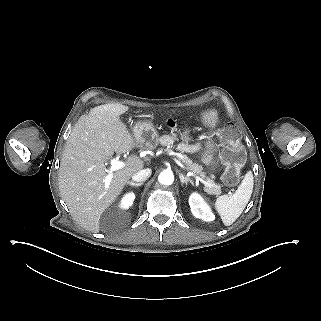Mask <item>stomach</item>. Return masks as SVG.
Segmentation results:
<instances>
[{
  "instance_id": "stomach-1",
  "label": "stomach",
  "mask_w": 321,
  "mask_h": 321,
  "mask_svg": "<svg viewBox=\"0 0 321 321\" xmlns=\"http://www.w3.org/2000/svg\"><path fill=\"white\" fill-rule=\"evenodd\" d=\"M200 121L207 130L205 141L203 142L202 152H215L218 148L214 143V137L217 135V128L220 124V115L218 111L205 110L200 115ZM134 136L136 146L144 150H154L158 146L159 132L153 118L140 119L134 127ZM211 172L219 169L217 161L210 163L207 167Z\"/></svg>"
}]
</instances>
